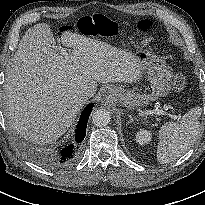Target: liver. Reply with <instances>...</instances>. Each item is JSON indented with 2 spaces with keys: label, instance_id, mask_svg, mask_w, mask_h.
I'll use <instances>...</instances> for the list:
<instances>
[{
  "label": "liver",
  "instance_id": "liver-1",
  "mask_svg": "<svg viewBox=\"0 0 205 205\" xmlns=\"http://www.w3.org/2000/svg\"><path fill=\"white\" fill-rule=\"evenodd\" d=\"M69 48L59 52L48 24L29 28L19 43L4 85L8 123L25 139L47 144L73 124L83 104L78 91L92 96L97 83H132L140 77L132 53L67 30L61 36Z\"/></svg>",
  "mask_w": 205,
  "mask_h": 205
}]
</instances>
